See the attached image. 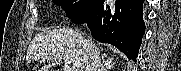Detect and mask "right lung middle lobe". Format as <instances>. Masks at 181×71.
Listing matches in <instances>:
<instances>
[{
    "label": "right lung middle lobe",
    "instance_id": "dd1d6c3e",
    "mask_svg": "<svg viewBox=\"0 0 181 71\" xmlns=\"http://www.w3.org/2000/svg\"><path fill=\"white\" fill-rule=\"evenodd\" d=\"M53 3L62 7L67 16L72 19L83 16L96 4L97 0H52ZM75 2V3H74Z\"/></svg>",
    "mask_w": 181,
    "mask_h": 71
}]
</instances>
